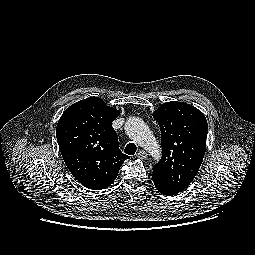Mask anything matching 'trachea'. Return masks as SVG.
<instances>
[{
    "label": "trachea",
    "instance_id": "trachea-1",
    "mask_svg": "<svg viewBox=\"0 0 255 255\" xmlns=\"http://www.w3.org/2000/svg\"><path fill=\"white\" fill-rule=\"evenodd\" d=\"M136 145L134 143H129L126 147H125V150L124 152L128 155H134L135 152H136Z\"/></svg>",
    "mask_w": 255,
    "mask_h": 255
}]
</instances>
